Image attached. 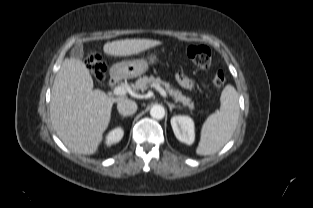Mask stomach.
<instances>
[{"label": "stomach", "instance_id": "obj_1", "mask_svg": "<svg viewBox=\"0 0 313 208\" xmlns=\"http://www.w3.org/2000/svg\"><path fill=\"white\" fill-rule=\"evenodd\" d=\"M157 62V56L152 54L148 60L136 59L132 61H123L116 63L112 67V73L121 78H134L143 75L149 68Z\"/></svg>", "mask_w": 313, "mask_h": 208}]
</instances>
